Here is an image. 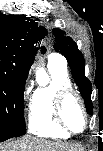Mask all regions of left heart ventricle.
Listing matches in <instances>:
<instances>
[{
  "label": "left heart ventricle",
  "instance_id": "1",
  "mask_svg": "<svg viewBox=\"0 0 103 151\" xmlns=\"http://www.w3.org/2000/svg\"><path fill=\"white\" fill-rule=\"evenodd\" d=\"M64 118L66 122L76 131H80L84 127V115L83 111L74 97H69L63 110Z\"/></svg>",
  "mask_w": 103,
  "mask_h": 151
}]
</instances>
